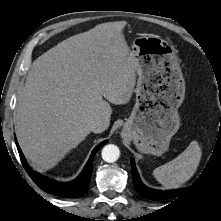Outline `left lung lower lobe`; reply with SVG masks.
Returning <instances> with one entry per match:
<instances>
[{
    "instance_id": "obj_1",
    "label": "left lung lower lobe",
    "mask_w": 221,
    "mask_h": 221,
    "mask_svg": "<svg viewBox=\"0 0 221 221\" xmlns=\"http://www.w3.org/2000/svg\"><path fill=\"white\" fill-rule=\"evenodd\" d=\"M131 169H132L133 184L135 186L136 191L147 199L163 200V199L173 198L180 195L182 196L188 190V189H179L171 191L169 190L161 191V190L148 188L141 182L133 159H131Z\"/></svg>"
}]
</instances>
